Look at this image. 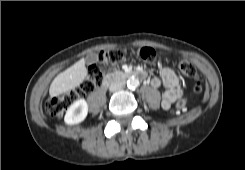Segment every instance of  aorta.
Here are the masks:
<instances>
[{"mask_svg":"<svg viewBox=\"0 0 245 170\" xmlns=\"http://www.w3.org/2000/svg\"><path fill=\"white\" fill-rule=\"evenodd\" d=\"M139 80L137 79V78H135V77H131V78H129L128 79V81H127V86H128V88H130V89H135V88H137L138 86H139Z\"/></svg>","mask_w":245,"mask_h":170,"instance_id":"1","label":"aorta"}]
</instances>
